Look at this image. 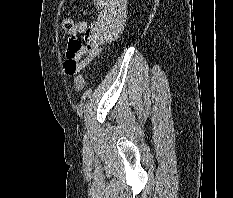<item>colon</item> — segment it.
<instances>
[{
	"instance_id": "1",
	"label": "colon",
	"mask_w": 233,
	"mask_h": 198,
	"mask_svg": "<svg viewBox=\"0 0 233 198\" xmlns=\"http://www.w3.org/2000/svg\"><path fill=\"white\" fill-rule=\"evenodd\" d=\"M95 6L97 8H100L103 6V0H93ZM62 27L64 29V31L68 34H70L73 37V49H77L81 46V42L75 32V24L73 22V20L66 18L63 20L62 22ZM64 67H65V72L68 75H76L79 71V65H78V61L75 58V55L73 52H69L66 55V60L64 63ZM85 86V78L83 74H78L75 78V87L77 91H81Z\"/></svg>"
}]
</instances>
